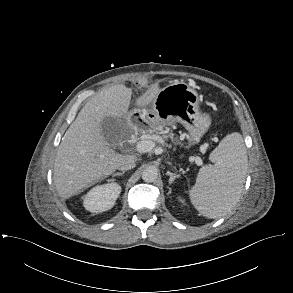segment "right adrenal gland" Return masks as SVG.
I'll use <instances>...</instances> for the list:
<instances>
[{
	"instance_id": "2a0ac1e0",
	"label": "right adrenal gland",
	"mask_w": 293,
	"mask_h": 293,
	"mask_svg": "<svg viewBox=\"0 0 293 293\" xmlns=\"http://www.w3.org/2000/svg\"><path fill=\"white\" fill-rule=\"evenodd\" d=\"M125 174V172H120V173H115V174H113V176H122V175H124Z\"/></svg>"
}]
</instances>
